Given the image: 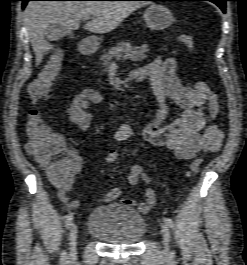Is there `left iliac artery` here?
<instances>
[{
    "label": "left iliac artery",
    "mask_w": 247,
    "mask_h": 265,
    "mask_svg": "<svg viewBox=\"0 0 247 265\" xmlns=\"http://www.w3.org/2000/svg\"><path fill=\"white\" fill-rule=\"evenodd\" d=\"M164 222L171 228L174 227V222L172 221V219L168 218V217H165L164 218Z\"/></svg>",
    "instance_id": "obj_1"
}]
</instances>
